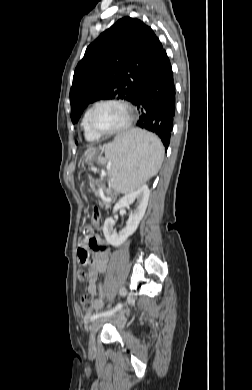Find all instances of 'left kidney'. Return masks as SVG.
I'll list each match as a JSON object with an SVG mask.
<instances>
[{"mask_svg":"<svg viewBox=\"0 0 252 390\" xmlns=\"http://www.w3.org/2000/svg\"><path fill=\"white\" fill-rule=\"evenodd\" d=\"M149 188L147 185H143L136 191L131 192L121 198L113 208V213H116L119 209L129 207L135 200L138 201V205L134 211L129 215L126 227L116 232L114 229L115 221L113 217L107 218L104 222L103 233L106 241L114 247H118L123 244L129 236H131L137 229L140 221L142 220L149 200Z\"/></svg>","mask_w":252,"mask_h":390,"instance_id":"5707ae66","label":"left kidney"}]
</instances>
